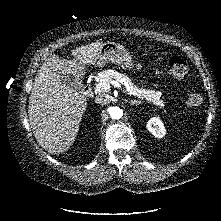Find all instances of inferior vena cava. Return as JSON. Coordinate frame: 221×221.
Instances as JSON below:
<instances>
[{
    "instance_id": "602c4592",
    "label": "inferior vena cava",
    "mask_w": 221,
    "mask_h": 221,
    "mask_svg": "<svg viewBox=\"0 0 221 221\" xmlns=\"http://www.w3.org/2000/svg\"><path fill=\"white\" fill-rule=\"evenodd\" d=\"M106 99H104V97L102 95H99L96 97L95 102L96 103H101V104H105L106 103Z\"/></svg>"
}]
</instances>
